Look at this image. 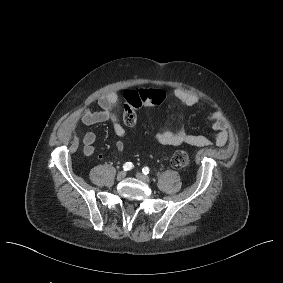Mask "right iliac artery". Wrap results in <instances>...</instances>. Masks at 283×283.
<instances>
[{
	"label": "right iliac artery",
	"mask_w": 283,
	"mask_h": 283,
	"mask_svg": "<svg viewBox=\"0 0 283 283\" xmlns=\"http://www.w3.org/2000/svg\"><path fill=\"white\" fill-rule=\"evenodd\" d=\"M133 167H134V165H133L131 162H126V163L123 165V170H124V171H128V170H131Z\"/></svg>",
	"instance_id": "obj_1"
}]
</instances>
